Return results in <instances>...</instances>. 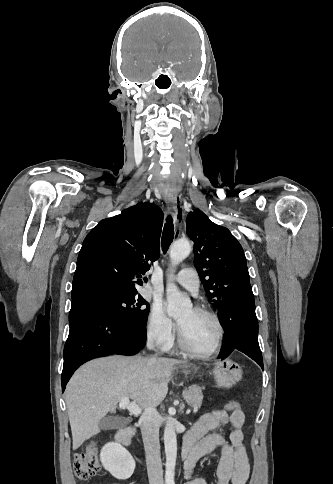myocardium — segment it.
<instances>
[{
	"instance_id": "1",
	"label": "myocardium",
	"mask_w": 333,
	"mask_h": 484,
	"mask_svg": "<svg viewBox=\"0 0 333 484\" xmlns=\"http://www.w3.org/2000/svg\"><path fill=\"white\" fill-rule=\"evenodd\" d=\"M193 310L197 313L209 316L215 322L216 327H217V331H218L216 341H215L213 347L210 350L205 351V352L198 351V350L194 349L187 342L179 323H177L178 344L183 351L187 352L188 354H190L194 357L209 358V357L215 355L219 351V349L222 345L223 338H224V327H223V324H222L219 316L214 311H212V310H210L206 307H202V306H195V307H193Z\"/></svg>"
}]
</instances>
